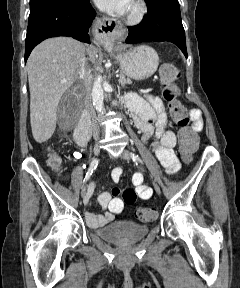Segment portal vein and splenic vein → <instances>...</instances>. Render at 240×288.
<instances>
[{
	"label": "portal vein and splenic vein",
	"instance_id": "18ae733b",
	"mask_svg": "<svg viewBox=\"0 0 240 288\" xmlns=\"http://www.w3.org/2000/svg\"><path fill=\"white\" fill-rule=\"evenodd\" d=\"M117 76H118V75H117ZM61 82H62V83H63V82H66V80H62Z\"/></svg>",
	"mask_w": 240,
	"mask_h": 288
}]
</instances>
